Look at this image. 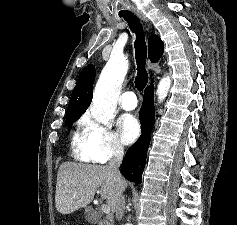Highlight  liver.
<instances>
[{"instance_id": "6515ba94", "label": "liver", "mask_w": 237, "mask_h": 225, "mask_svg": "<svg viewBox=\"0 0 237 225\" xmlns=\"http://www.w3.org/2000/svg\"><path fill=\"white\" fill-rule=\"evenodd\" d=\"M127 182L123 180L122 192ZM101 187L102 199H106L112 211L116 210L120 187L107 166L64 162L57 173L55 203L63 215L89 205L97 189Z\"/></svg>"}]
</instances>
